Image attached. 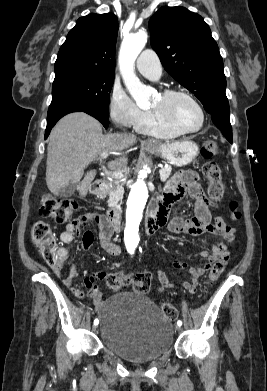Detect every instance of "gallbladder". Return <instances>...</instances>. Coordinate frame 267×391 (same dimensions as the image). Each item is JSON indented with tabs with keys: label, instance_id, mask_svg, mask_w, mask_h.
I'll return each mask as SVG.
<instances>
[{
	"label": "gallbladder",
	"instance_id": "bac80fb5",
	"mask_svg": "<svg viewBox=\"0 0 267 391\" xmlns=\"http://www.w3.org/2000/svg\"><path fill=\"white\" fill-rule=\"evenodd\" d=\"M80 184H69L67 188L61 193L56 194V196L68 197L74 194L75 190L78 189Z\"/></svg>",
	"mask_w": 267,
	"mask_h": 391
}]
</instances>
